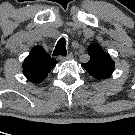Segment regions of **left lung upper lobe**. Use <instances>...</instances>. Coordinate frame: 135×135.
I'll return each mask as SVG.
<instances>
[{"mask_svg":"<svg viewBox=\"0 0 135 135\" xmlns=\"http://www.w3.org/2000/svg\"><path fill=\"white\" fill-rule=\"evenodd\" d=\"M88 55L90 56V60L87 63H83L82 66L91 76L101 80L109 78L112 75L115 63L99 44L92 43L89 45Z\"/></svg>","mask_w":135,"mask_h":135,"instance_id":"left-lung-upper-lobe-1","label":"left lung upper lobe"}]
</instances>
